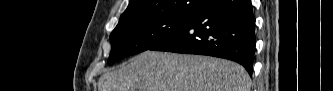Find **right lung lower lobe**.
<instances>
[{"instance_id":"98d812e1","label":"right lung lower lobe","mask_w":333,"mask_h":91,"mask_svg":"<svg viewBox=\"0 0 333 91\" xmlns=\"http://www.w3.org/2000/svg\"><path fill=\"white\" fill-rule=\"evenodd\" d=\"M255 45L250 0H214L150 50L226 58L238 62L252 75Z\"/></svg>"}]
</instances>
